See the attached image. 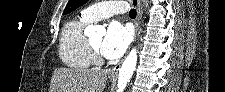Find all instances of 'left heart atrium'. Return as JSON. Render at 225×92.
Returning a JSON list of instances; mask_svg holds the SVG:
<instances>
[{
	"mask_svg": "<svg viewBox=\"0 0 225 92\" xmlns=\"http://www.w3.org/2000/svg\"><path fill=\"white\" fill-rule=\"evenodd\" d=\"M132 32L128 25L112 21L100 46L101 54L110 60L120 57L126 50Z\"/></svg>",
	"mask_w": 225,
	"mask_h": 92,
	"instance_id": "obj_1",
	"label": "left heart atrium"
}]
</instances>
